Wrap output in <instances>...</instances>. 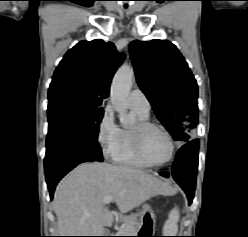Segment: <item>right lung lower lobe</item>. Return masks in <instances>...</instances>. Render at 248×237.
<instances>
[{"mask_svg":"<svg viewBox=\"0 0 248 237\" xmlns=\"http://www.w3.org/2000/svg\"><path fill=\"white\" fill-rule=\"evenodd\" d=\"M45 175L50 197L60 179L78 164L98 160L102 162V151L97 140L64 134L47 136Z\"/></svg>","mask_w":248,"mask_h":237,"instance_id":"right-lung-lower-lobe-1","label":"right lung lower lobe"}]
</instances>
